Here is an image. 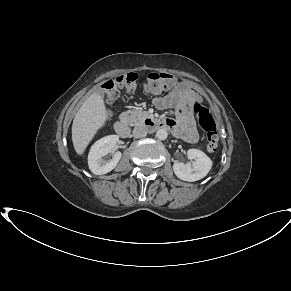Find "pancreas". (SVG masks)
<instances>
[{"mask_svg": "<svg viewBox=\"0 0 291 291\" xmlns=\"http://www.w3.org/2000/svg\"><path fill=\"white\" fill-rule=\"evenodd\" d=\"M124 114L127 116L128 123L131 126L142 124L143 121L149 116L148 112L142 110L141 108L127 111Z\"/></svg>", "mask_w": 291, "mask_h": 291, "instance_id": "obj_1", "label": "pancreas"}]
</instances>
